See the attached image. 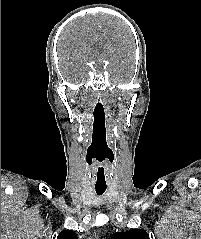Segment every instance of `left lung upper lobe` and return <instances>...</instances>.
I'll use <instances>...</instances> for the list:
<instances>
[{
  "instance_id": "left-lung-upper-lobe-1",
  "label": "left lung upper lobe",
  "mask_w": 201,
  "mask_h": 239,
  "mask_svg": "<svg viewBox=\"0 0 201 239\" xmlns=\"http://www.w3.org/2000/svg\"><path fill=\"white\" fill-rule=\"evenodd\" d=\"M111 239H149V235L143 229H132L126 232H117Z\"/></svg>"
}]
</instances>
